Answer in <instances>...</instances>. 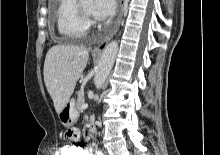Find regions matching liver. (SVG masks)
Instances as JSON below:
<instances>
[{"label": "liver", "mask_w": 220, "mask_h": 155, "mask_svg": "<svg viewBox=\"0 0 220 155\" xmlns=\"http://www.w3.org/2000/svg\"><path fill=\"white\" fill-rule=\"evenodd\" d=\"M89 53L80 46L58 44L51 47L44 62V82L57 114L69 101Z\"/></svg>", "instance_id": "1"}]
</instances>
